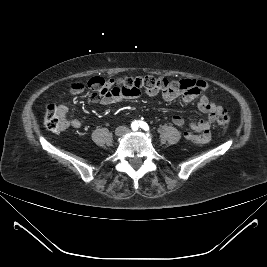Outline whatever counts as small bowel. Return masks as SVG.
<instances>
[{
	"label": "small bowel",
	"instance_id": "1",
	"mask_svg": "<svg viewBox=\"0 0 267 267\" xmlns=\"http://www.w3.org/2000/svg\"><path fill=\"white\" fill-rule=\"evenodd\" d=\"M182 83L184 87L181 90L163 92L162 97L166 101H173L180 98L184 104H188L194 100L198 101V109L207 114V118L191 123L189 126L193 132L188 131L184 135L190 142L206 144L211 139V125L215 121L217 114L223 111V108L206 95L208 85L205 81L186 79L182 80ZM84 86L82 83L72 84L70 91L71 93H79L84 89ZM86 86L92 90L90 99L103 105L115 104L127 97L132 98V96L122 93L120 89L115 87L114 80L112 79L104 80L101 77H93L87 82ZM56 110L58 116L64 123V128L71 127L77 129L81 126L79 119L68 118V108L64 103L58 104ZM172 121L176 126H183L186 123L185 118L181 115H174Z\"/></svg>",
	"mask_w": 267,
	"mask_h": 267
}]
</instances>
